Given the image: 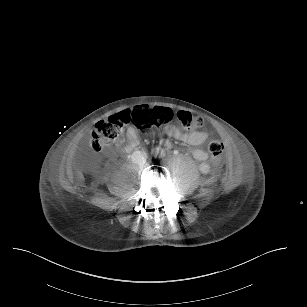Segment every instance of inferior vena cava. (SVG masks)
Listing matches in <instances>:
<instances>
[{"instance_id":"obj_1","label":"inferior vena cava","mask_w":307,"mask_h":307,"mask_svg":"<svg viewBox=\"0 0 307 307\" xmlns=\"http://www.w3.org/2000/svg\"><path fill=\"white\" fill-rule=\"evenodd\" d=\"M131 159L135 164L143 165L146 162L147 154L144 151L140 150L134 151L131 156Z\"/></svg>"}]
</instances>
